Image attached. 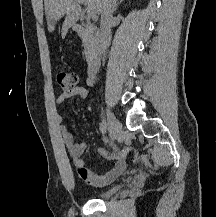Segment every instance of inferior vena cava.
<instances>
[{"label": "inferior vena cava", "mask_w": 216, "mask_h": 217, "mask_svg": "<svg viewBox=\"0 0 216 217\" xmlns=\"http://www.w3.org/2000/svg\"><path fill=\"white\" fill-rule=\"evenodd\" d=\"M117 0H105L100 21V48L105 52L111 41L113 13L116 11Z\"/></svg>", "instance_id": "602c4592"}]
</instances>
